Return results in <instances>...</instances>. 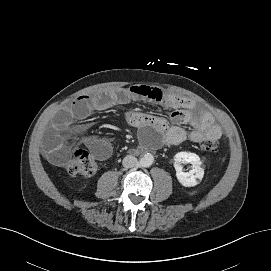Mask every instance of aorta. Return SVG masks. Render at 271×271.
I'll return each mask as SVG.
<instances>
[{
  "label": "aorta",
  "instance_id": "762f6f07",
  "mask_svg": "<svg viewBox=\"0 0 271 271\" xmlns=\"http://www.w3.org/2000/svg\"><path fill=\"white\" fill-rule=\"evenodd\" d=\"M153 161H154L153 155L147 153L140 158L139 163L142 167H150Z\"/></svg>",
  "mask_w": 271,
  "mask_h": 271
}]
</instances>
